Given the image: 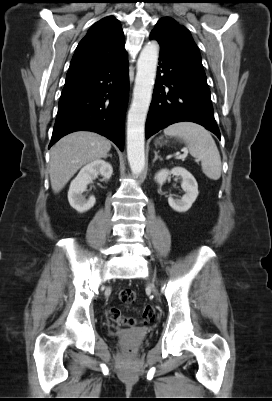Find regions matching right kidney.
<instances>
[{"label":"right kidney","mask_w":272,"mask_h":401,"mask_svg":"<svg viewBox=\"0 0 272 401\" xmlns=\"http://www.w3.org/2000/svg\"><path fill=\"white\" fill-rule=\"evenodd\" d=\"M113 168L110 163L104 160H95L84 166L75 179L71 182L68 191V201L70 205L79 213H83L91 209L96 200L94 196L88 199L83 196L86 191L87 185L95 179L99 174L104 179L109 180L112 176Z\"/></svg>","instance_id":"1"}]
</instances>
